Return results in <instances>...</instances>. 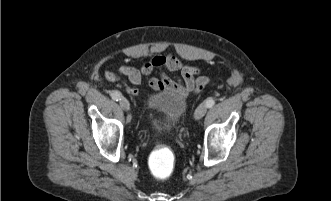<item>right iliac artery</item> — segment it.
<instances>
[{
    "instance_id": "1",
    "label": "right iliac artery",
    "mask_w": 331,
    "mask_h": 201,
    "mask_svg": "<svg viewBox=\"0 0 331 201\" xmlns=\"http://www.w3.org/2000/svg\"><path fill=\"white\" fill-rule=\"evenodd\" d=\"M111 97H112L113 100L118 101V100L121 99V94H120V92H118V91H113V92L111 93Z\"/></svg>"
}]
</instances>
